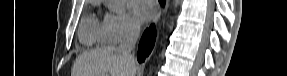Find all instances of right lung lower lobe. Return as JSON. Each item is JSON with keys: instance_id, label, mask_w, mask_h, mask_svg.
<instances>
[{"instance_id": "obj_1", "label": "right lung lower lobe", "mask_w": 287, "mask_h": 76, "mask_svg": "<svg viewBox=\"0 0 287 76\" xmlns=\"http://www.w3.org/2000/svg\"><path fill=\"white\" fill-rule=\"evenodd\" d=\"M163 5L165 0H159ZM156 39L155 26L151 25L149 29H146L139 43L137 59L139 62H143L145 58L150 54L153 49Z\"/></svg>"}]
</instances>
